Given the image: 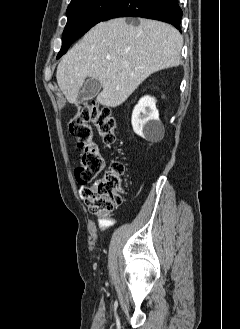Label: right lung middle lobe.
<instances>
[{
  "label": "right lung middle lobe",
  "instance_id": "right-lung-middle-lobe-1",
  "mask_svg": "<svg viewBox=\"0 0 240 329\" xmlns=\"http://www.w3.org/2000/svg\"><path fill=\"white\" fill-rule=\"evenodd\" d=\"M121 0H75L67 9V24L63 32L62 48L57 59L65 54L69 46L101 19Z\"/></svg>",
  "mask_w": 240,
  "mask_h": 329
}]
</instances>
